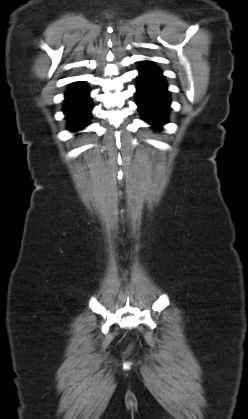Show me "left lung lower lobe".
I'll return each instance as SVG.
<instances>
[{
  "mask_svg": "<svg viewBox=\"0 0 248 419\" xmlns=\"http://www.w3.org/2000/svg\"><path fill=\"white\" fill-rule=\"evenodd\" d=\"M137 77L136 103L143 119L159 129L167 122L170 98L161 71L144 61Z\"/></svg>",
  "mask_w": 248,
  "mask_h": 419,
  "instance_id": "obj_1",
  "label": "left lung lower lobe"
}]
</instances>
